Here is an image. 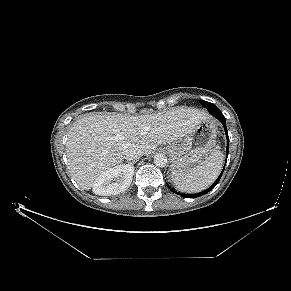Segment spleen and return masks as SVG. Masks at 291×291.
Instances as JSON below:
<instances>
[{
	"instance_id": "obj_1",
	"label": "spleen",
	"mask_w": 291,
	"mask_h": 291,
	"mask_svg": "<svg viewBox=\"0 0 291 291\" xmlns=\"http://www.w3.org/2000/svg\"><path fill=\"white\" fill-rule=\"evenodd\" d=\"M223 161L224 154L215 150L206 160L188 172H173L172 181L175 188L184 193H198L207 189L219 176Z\"/></svg>"
}]
</instances>
